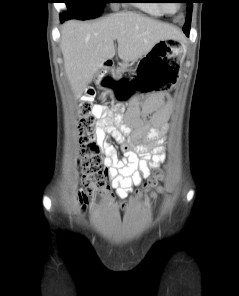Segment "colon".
Instances as JSON below:
<instances>
[{"instance_id": "1", "label": "colon", "mask_w": 239, "mask_h": 296, "mask_svg": "<svg viewBox=\"0 0 239 296\" xmlns=\"http://www.w3.org/2000/svg\"><path fill=\"white\" fill-rule=\"evenodd\" d=\"M92 96L93 90L88 89L84 95L83 103L79 106V118L77 121L78 138L82 154L81 166L84 179V188L78 195V202L83 207L89 199L98 198L105 194H108L109 199L113 201V196L110 194L109 186L104 179V170L101 165L99 155L100 145L96 132V108L91 102ZM161 180L162 173H157L155 179L146 183L145 189L148 195H151L154 189H159ZM117 207L119 209H125L126 205L120 204Z\"/></svg>"}]
</instances>
